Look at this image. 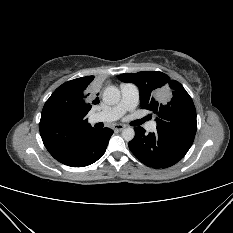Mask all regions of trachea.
Wrapping results in <instances>:
<instances>
[{"mask_svg":"<svg viewBox=\"0 0 233 233\" xmlns=\"http://www.w3.org/2000/svg\"><path fill=\"white\" fill-rule=\"evenodd\" d=\"M147 120H148V117H145V118L140 119V120H136V121L133 122V125H134V126L141 125L142 123H144V122L147 121Z\"/></svg>","mask_w":233,"mask_h":233,"instance_id":"obj_1","label":"trachea"}]
</instances>
